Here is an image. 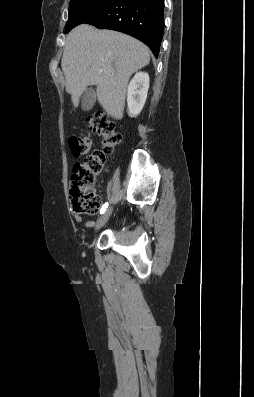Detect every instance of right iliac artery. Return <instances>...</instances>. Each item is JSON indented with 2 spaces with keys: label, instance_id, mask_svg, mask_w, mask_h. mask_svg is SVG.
<instances>
[{
  "label": "right iliac artery",
  "instance_id": "obj_1",
  "mask_svg": "<svg viewBox=\"0 0 254 397\" xmlns=\"http://www.w3.org/2000/svg\"><path fill=\"white\" fill-rule=\"evenodd\" d=\"M107 207H108V202L103 204V206L101 207L100 213L103 214L106 211Z\"/></svg>",
  "mask_w": 254,
  "mask_h": 397
}]
</instances>
